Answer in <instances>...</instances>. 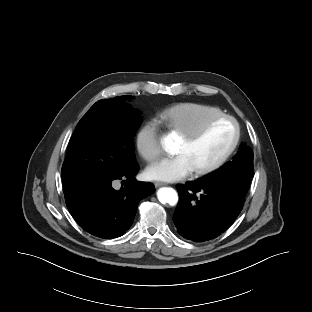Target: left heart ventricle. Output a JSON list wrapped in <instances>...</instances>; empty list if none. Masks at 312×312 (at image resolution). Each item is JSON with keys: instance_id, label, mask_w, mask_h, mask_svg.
<instances>
[{"instance_id": "left-heart-ventricle-1", "label": "left heart ventricle", "mask_w": 312, "mask_h": 312, "mask_svg": "<svg viewBox=\"0 0 312 312\" xmlns=\"http://www.w3.org/2000/svg\"><path fill=\"white\" fill-rule=\"evenodd\" d=\"M235 133V126L231 121H218L195 142L190 143L182 138L176 153L185 154L194 170L205 167L227 151L234 140Z\"/></svg>"}]
</instances>
